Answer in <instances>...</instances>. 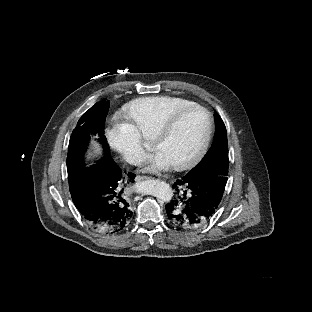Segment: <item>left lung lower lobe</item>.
<instances>
[{"mask_svg":"<svg viewBox=\"0 0 312 312\" xmlns=\"http://www.w3.org/2000/svg\"><path fill=\"white\" fill-rule=\"evenodd\" d=\"M227 175L228 170H206L177 180L173 188L178 196L166 205L170 223L190 229L209 222L218 210Z\"/></svg>","mask_w":312,"mask_h":312,"instance_id":"obj_1","label":"left lung lower lobe"}]
</instances>
